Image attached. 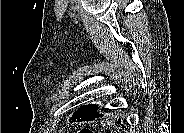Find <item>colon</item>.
<instances>
[{"instance_id":"1","label":"colon","mask_w":184,"mask_h":133,"mask_svg":"<svg viewBox=\"0 0 184 133\" xmlns=\"http://www.w3.org/2000/svg\"><path fill=\"white\" fill-rule=\"evenodd\" d=\"M80 132L81 133H92V131L89 129H82Z\"/></svg>"}]
</instances>
